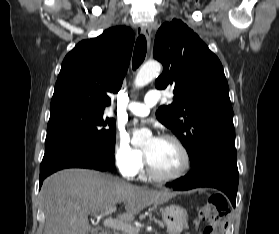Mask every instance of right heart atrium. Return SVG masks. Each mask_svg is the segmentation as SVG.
<instances>
[{
  "mask_svg": "<svg viewBox=\"0 0 279 234\" xmlns=\"http://www.w3.org/2000/svg\"><path fill=\"white\" fill-rule=\"evenodd\" d=\"M113 159L120 173L125 177H133L143 164V152L133 146L128 135L117 132L113 142Z\"/></svg>",
  "mask_w": 279,
  "mask_h": 234,
  "instance_id": "d8ad5b80",
  "label": "right heart atrium"
}]
</instances>
